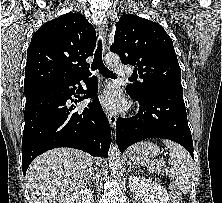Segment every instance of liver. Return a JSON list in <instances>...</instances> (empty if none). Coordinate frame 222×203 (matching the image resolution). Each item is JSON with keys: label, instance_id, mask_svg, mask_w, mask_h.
<instances>
[{"label": "liver", "instance_id": "1", "mask_svg": "<svg viewBox=\"0 0 222 203\" xmlns=\"http://www.w3.org/2000/svg\"><path fill=\"white\" fill-rule=\"evenodd\" d=\"M93 158L71 148H56L38 156L26 179L31 203H64L83 189L93 171Z\"/></svg>", "mask_w": 222, "mask_h": 203}]
</instances>
